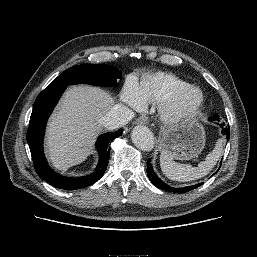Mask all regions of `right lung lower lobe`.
<instances>
[{"instance_id":"obj_1","label":"right lung lower lobe","mask_w":257,"mask_h":257,"mask_svg":"<svg viewBox=\"0 0 257 257\" xmlns=\"http://www.w3.org/2000/svg\"><path fill=\"white\" fill-rule=\"evenodd\" d=\"M65 89L66 86L45 89L38 95L30 117L27 141L36 172L54 187L76 190L92 185L103 176L110 158L109 143L121 136L123 130L120 129L114 134L106 133L98 137L96 147L100 154V160L93 173L77 178H68L54 172L48 166L43 154V137L47 119Z\"/></svg>"}]
</instances>
